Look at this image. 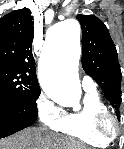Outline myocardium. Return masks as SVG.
Here are the masks:
<instances>
[{"mask_svg": "<svg viewBox=\"0 0 124 149\" xmlns=\"http://www.w3.org/2000/svg\"><path fill=\"white\" fill-rule=\"evenodd\" d=\"M97 132L108 140H114L120 133V126L117 118L108 112L100 113L95 119Z\"/></svg>", "mask_w": 124, "mask_h": 149, "instance_id": "1", "label": "myocardium"}]
</instances>
